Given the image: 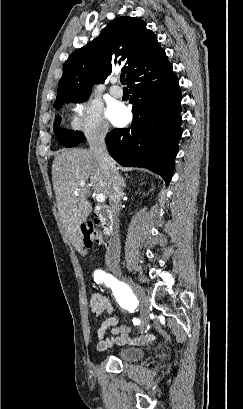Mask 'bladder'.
<instances>
[{
	"label": "bladder",
	"mask_w": 243,
	"mask_h": 409,
	"mask_svg": "<svg viewBox=\"0 0 243 409\" xmlns=\"http://www.w3.org/2000/svg\"><path fill=\"white\" fill-rule=\"evenodd\" d=\"M116 359L124 363H131L140 360L144 356V350L139 347L127 346L115 351Z\"/></svg>",
	"instance_id": "1"
}]
</instances>
